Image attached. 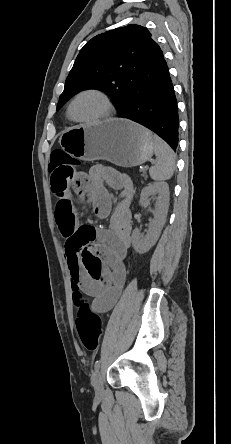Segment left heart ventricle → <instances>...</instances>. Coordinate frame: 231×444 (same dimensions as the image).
Masks as SVG:
<instances>
[{"label":"left heart ventricle","mask_w":231,"mask_h":444,"mask_svg":"<svg viewBox=\"0 0 231 444\" xmlns=\"http://www.w3.org/2000/svg\"><path fill=\"white\" fill-rule=\"evenodd\" d=\"M105 111L102 99L95 94H84L74 103L72 112L78 119H93Z\"/></svg>","instance_id":"obj_1"}]
</instances>
